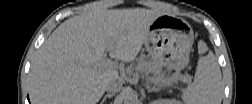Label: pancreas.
Masks as SVG:
<instances>
[{
	"label": "pancreas",
	"instance_id": "obj_1",
	"mask_svg": "<svg viewBox=\"0 0 252 104\" xmlns=\"http://www.w3.org/2000/svg\"><path fill=\"white\" fill-rule=\"evenodd\" d=\"M137 71L142 72L148 76V79L156 84L162 85L165 82H173L180 77L179 74L166 76L162 73V67L158 63L150 61H140L137 66Z\"/></svg>",
	"mask_w": 252,
	"mask_h": 104
}]
</instances>
